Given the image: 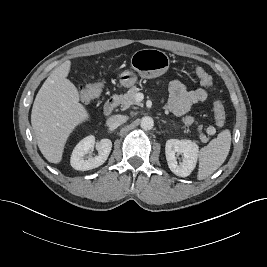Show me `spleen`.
Listing matches in <instances>:
<instances>
[{
  "label": "spleen",
  "mask_w": 267,
  "mask_h": 267,
  "mask_svg": "<svg viewBox=\"0 0 267 267\" xmlns=\"http://www.w3.org/2000/svg\"><path fill=\"white\" fill-rule=\"evenodd\" d=\"M231 146V133L223 130L199 153L198 180H203L213 174L226 160Z\"/></svg>",
  "instance_id": "1"
}]
</instances>
